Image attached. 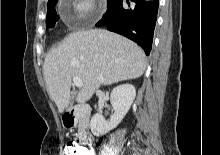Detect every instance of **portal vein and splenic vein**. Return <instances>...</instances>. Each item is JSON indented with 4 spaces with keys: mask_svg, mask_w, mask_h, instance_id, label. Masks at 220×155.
<instances>
[{
    "mask_svg": "<svg viewBox=\"0 0 220 155\" xmlns=\"http://www.w3.org/2000/svg\"><path fill=\"white\" fill-rule=\"evenodd\" d=\"M73 83L78 88H82V86H83L82 80L79 77H77V76L73 77Z\"/></svg>",
    "mask_w": 220,
    "mask_h": 155,
    "instance_id": "1",
    "label": "portal vein and splenic vein"
}]
</instances>
